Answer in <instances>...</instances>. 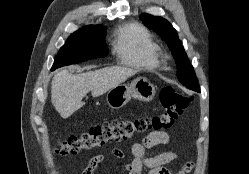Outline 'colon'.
Wrapping results in <instances>:
<instances>
[{
    "instance_id": "obj_1",
    "label": "colon",
    "mask_w": 249,
    "mask_h": 174,
    "mask_svg": "<svg viewBox=\"0 0 249 174\" xmlns=\"http://www.w3.org/2000/svg\"><path fill=\"white\" fill-rule=\"evenodd\" d=\"M191 98L173 87L160 91L163 112L144 118L113 119L91 127L79 135L70 136L56 147L59 155L76 154L83 150L127 141L141 134L162 132L171 128L190 104Z\"/></svg>"
}]
</instances>
